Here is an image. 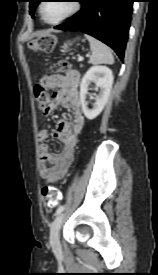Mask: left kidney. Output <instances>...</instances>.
Masks as SVG:
<instances>
[{
  "label": "left kidney",
  "instance_id": "obj_1",
  "mask_svg": "<svg viewBox=\"0 0 158 275\" xmlns=\"http://www.w3.org/2000/svg\"><path fill=\"white\" fill-rule=\"evenodd\" d=\"M112 70L107 66L95 65L88 69L82 78L80 84V102L82 110L87 119H95L104 109L113 84ZM94 82L100 88L99 95L95 98L93 108H88L86 95L88 93V86Z\"/></svg>",
  "mask_w": 158,
  "mask_h": 275
}]
</instances>
